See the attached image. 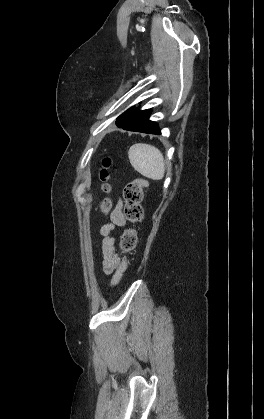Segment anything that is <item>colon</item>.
I'll use <instances>...</instances> for the list:
<instances>
[{
  "mask_svg": "<svg viewBox=\"0 0 264 419\" xmlns=\"http://www.w3.org/2000/svg\"><path fill=\"white\" fill-rule=\"evenodd\" d=\"M104 168L100 173L101 180L103 181L102 190L108 192L110 189L109 184L107 183L108 179V167L110 166V160L106 159L103 163ZM147 186V182L143 178H137L132 182L128 183L124 189V215L126 219L132 224L131 227L124 230L120 239V248L125 254V257L122 259L119 267L117 268L112 284L116 286L122 280V277L126 271L128 261L127 256L130 254L137 245V230L134 227L135 224L139 223L143 218V209H142V200L144 189ZM103 210H108L110 208L109 201H103L101 204Z\"/></svg>",
  "mask_w": 264,
  "mask_h": 419,
  "instance_id": "obj_1",
  "label": "colon"
}]
</instances>
